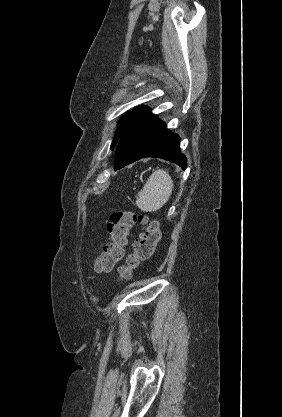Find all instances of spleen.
Here are the masks:
<instances>
[{
	"instance_id": "1",
	"label": "spleen",
	"mask_w": 282,
	"mask_h": 417,
	"mask_svg": "<svg viewBox=\"0 0 282 417\" xmlns=\"http://www.w3.org/2000/svg\"><path fill=\"white\" fill-rule=\"evenodd\" d=\"M173 180L163 168H158L147 178L142 190L136 196V204L144 213H154L169 200L173 190Z\"/></svg>"
}]
</instances>
